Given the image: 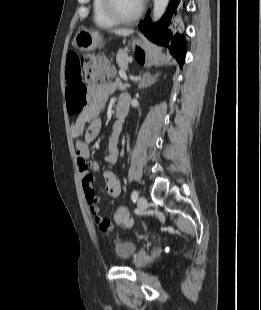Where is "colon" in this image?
Listing matches in <instances>:
<instances>
[{
	"instance_id": "obj_1",
	"label": "colon",
	"mask_w": 261,
	"mask_h": 310,
	"mask_svg": "<svg viewBox=\"0 0 261 310\" xmlns=\"http://www.w3.org/2000/svg\"><path fill=\"white\" fill-rule=\"evenodd\" d=\"M81 64L85 67V78L90 83H97L111 76L112 68L109 61L104 56H85L81 59ZM115 220L118 225L129 228L134 220L125 207H120L115 213ZM100 229L108 232L110 223L105 221L99 225Z\"/></svg>"
}]
</instances>
